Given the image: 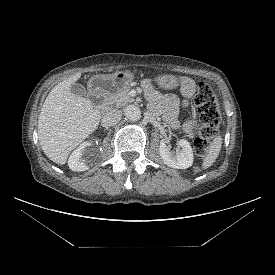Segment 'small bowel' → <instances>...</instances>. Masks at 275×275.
I'll return each instance as SVG.
<instances>
[{"mask_svg":"<svg viewBox=\"0 0 275 275\" xmlns=\"http://www.w3.org/2000/svg\"><path fill=\"white\" fill-rule=\"evenodd\" d=\"M178 85L183 96L182 106L187 107L189 99L195 92V83L189 78L180 77L178 78ZM144 89L148 98L152 101L153 107L163 111L164 118L169 124L172 126H178V112L180 105L178 98L175 95L160 96L153 83L149 80L145 81ZM183 127L187 132H191L194 128V121H186L183 124Z\"/></svg>","mask_w":275,"mask_h":275,"instance_id":"obj_1","label":"small bowel"}]
</instances>
